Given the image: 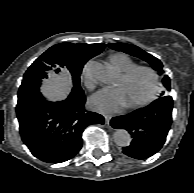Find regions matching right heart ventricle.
I'll return each mask as SVG.
<instances>
[{
  "label": "right heart ventricle",
  "instance_id": "obj_1",
  "mask_svg": "<svg viewBox=\"0 0 194 193\" xmlns=\"http://www.w3.org/2000/svg\"><path fill=\"white\" fill-rule=\"evenodd\" d=\"M109 61L111 65L120 73H124L136 65L130 57L123 53L111 55L109 57Z\"/></svg>",
  "mask_w": 194,
  "mask_h": 193
}]
</instances>
